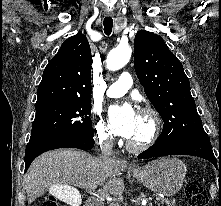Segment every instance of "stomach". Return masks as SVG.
Listing matches in <instances>:
<instances>
[{"label":"stomach","mask_w":221,"mask_h":206,"mask_svg":"<svg viewBox=\"0 0 221 206\" xmlns=\"http://www.w3.org/2000/svg\"><path fill=\"white\" fill-rule=\"evenodd\" d=\"M186 172V166L181 160L163 157L133 172V176L154 192L172 195L182 187Z\"/></svg>","instance_id":"1"}]
</instances>
